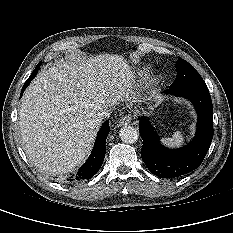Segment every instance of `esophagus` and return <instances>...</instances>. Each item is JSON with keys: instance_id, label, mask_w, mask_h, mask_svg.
<instances>
[{"instance_id": "esophagus-1", "label": "esophagus", "mask_w": 233, "mask_h": 233, "mask_svg": "<svg viewBox=\"0 0 233 233\" xmlns=\"http://www.w3.org/2000/svg\"><path fill=\"white\" fill-rule=\"evenodd\" d=\"M131 122H132V116L126 115L120 120L118 126L129 125L131 124Z\"/></svg>"}]
</instances>
